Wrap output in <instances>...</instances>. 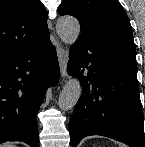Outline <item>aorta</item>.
Instances as JSON below:
<instances>
[{"mask_svg": "<svg viewBox=\"0 0 145 147\" xmlns=\"http://www.w3.org/2000/svg\"><path fill=\"white\" fill-rule=\"evenodd\" d=\"M57 32L62 42L73 45L80 35V24L72 16L61 17L57 22ZM82 93L81 84L78 79L70 78L63 86L60 93L58 105L63 111L72 109L79 100Z\"/></svg>", "mask_w": 145, "mask_h": 147, "instance_id": "obj_1", "label": "aorta"}]
</instances>
